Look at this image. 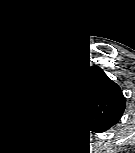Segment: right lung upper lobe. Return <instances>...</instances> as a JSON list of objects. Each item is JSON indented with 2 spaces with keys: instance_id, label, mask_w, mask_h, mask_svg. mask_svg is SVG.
<instances>
[{
  "instance_id": "right-lung-upper-lobe-1",
  "label": "right lung upper lobe",
  "mask_w": 135,
  "mask_h": 153,
  "mask_svg": "<svg viewBox=\"0 0 135 153\" xmlns=\"http://www.w3.org/2000/svg\"><path fill=\"white\" fill-rule=\"evenodd\" d=\"M49 90V83L45 78H39L33 88H32V94L34 97L38 100H41L44 95L48 92Z\"/></svg>"
}]
</instances>
